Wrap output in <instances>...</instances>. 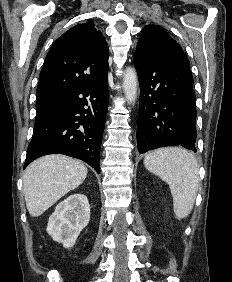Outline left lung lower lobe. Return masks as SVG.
<instances>
[{"label": "left lung lower lobe", "instance_id": "left-lung-lower-lobe-1", "mask_svg": "<svg viewBox=\"0 0 232 282\" xmlns=\"http://www.w3.org/2000/svg\"><path fill=\"white\" fill-rule=\"evenodd\" d=\"M140 85L137 145L140 154L165 146L195 147L196 96L182 53L147 57L134 53Z\"/></svg>", "mask_w": 232, "mask_h": 282}]
</instances>
